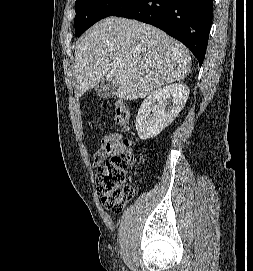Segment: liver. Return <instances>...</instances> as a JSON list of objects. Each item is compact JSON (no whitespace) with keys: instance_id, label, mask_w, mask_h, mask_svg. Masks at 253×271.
I'll use <instances>...</instances> for the list:
<instances>
[{"instance_id":"liver-1","label":"liver","mask_w":253,"mask_h":271,"mask_svg":"<svg viewBox=\"0 0 253 271\" xmlns=\"http://www.w3.org/2000/svg\"><path fill=\"white\" fill-rule=\"evenodd\" d=\"M74 55L77 96L106 78L124 100L144 98L183 80L192 63L186 47L160 29L117 17L92 26L79 38Z\"/></svg>"}]
</instances>
